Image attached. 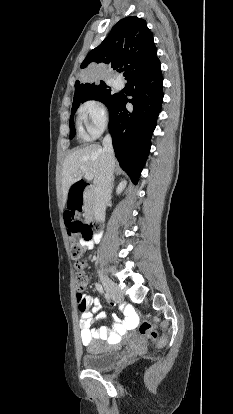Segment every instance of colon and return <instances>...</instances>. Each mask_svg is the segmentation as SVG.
Instances as JSON below:
<instances>
[{
  "instance_id": "5ec220e1",
  "label": "colon",
  "mask_w": 233,
  "mask_h": 414,
  "mask_svg": "<svg viewBox=\"0 0 233 414\" xmlns=\"http://www.w3.org/2000/svg\"><path fill=\"white\" fill-rule=\"evenodd\" d=\"M65 220L71 234L80 233L82 240H90L92 236V227L82 226L78 212L67 211ZM70 253L72 259L76 262L75 288L76 302L79 306L81 300L85 299L84 291L88 284V277L85 272L86 265L83 261L84 247L80 244V242L73 240L70 248ZM139 333L152 340L158 339L155 325L149 320L141 323L139 326ZM160 345H162V342H160Z\"/></svg>"
}]
</instances>
